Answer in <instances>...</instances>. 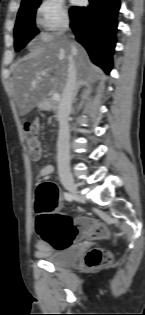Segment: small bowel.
I'll return each mask as SVG.
<instances>
[{"mask_svg": "<svg viewBox=\"0 0 145 315\" xmlns=\"http://www.w3.org/2000/svg\"><path fill=\"white\" fill-rule=\"evenodd\" d=\"M53 173H54V167L52 165H45L40 169V171L38 173V177L39 178L49 177V176L53 175ZM61 204H62V202L60 199L59 205H61ZM52 251H53V246L50 243H48L42 239H38L35 242V253L37 256L45 257V256L51 254Z\"/></svg>", "mask_w": 145, "mask_h": 315, "instance_id": "c3829d8e", "label": "small bowel"}]
</instances>
